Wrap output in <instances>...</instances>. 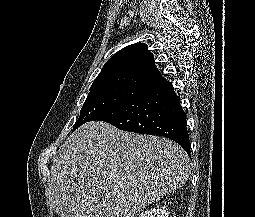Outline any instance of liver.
I'll use <instances>...</instances> for the list:
<instances>
[{
	"label": "liver",
	"instance_id": "6515ba94",
	"mask_svg": "<svg viewBox=\"0 0 255 217\" xmlns=\"http://www.w3.org/2000/svg\"><path fill=\"white\" fill-rule=\"evenodd\" d=\"M189 175L190 159L172 140L89 122L53 161L50 207L60 217H135Z\"/></svg>",
	"mask_w": 255,
	"mask_h": 217
}]
</instances>
